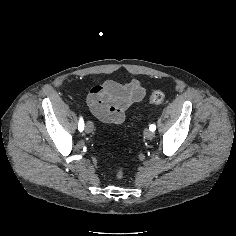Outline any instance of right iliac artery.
Wrapping results in <instances>:
<instances>
[{"instance_id": "82829eb1", "label": "right iliac artery", "mask_w": 236, "mask_h": 236, "mask_svg": "<svg viewBox=\"0 0 236 236\" xmlns=\"http://www.w3.org/2000/svg\"><path fill=\"white\" fill-rule=\"evenodd\" d=\"M78 129L80 132H82L84 130V121H83L82 117L79 120Z\"/></svg>"}]
</instances>
